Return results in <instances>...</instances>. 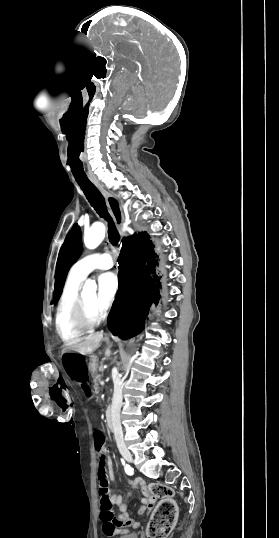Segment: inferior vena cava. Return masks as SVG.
Returning <instances> with one entry per match:
<instances>
[{
	"instance_id": "obj_1",
	"label": "inferior vena cava",
	"mask_w": 279,
	"mask_h": 538,
	"mask_svg": "<svg viewBox=\"0 0 279 538\" xmlns=\"http://www.w3.org/2000/svg\"><path fill=\"white\" fill-rule=\"evenodd\" d=\"M112 372H117L116 368H114ZM117 377L120 378L119 376H117ZM113 381H114V399L112 401V408H111L112 412H111V415H110L112 425L114 427L112 432H114V434H115V439L117 441V446L119 448L120 453L127 460L129 457H131V454H130V452H128L127 447H126V445L124 443L123 431H122V427H121L120 413H119L121 405L123 404L122 403V387H123V383L119 379H115ZM122 424H123V422H122Z\"/></svg>"
}]
</instances>
